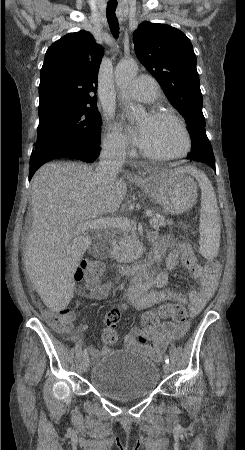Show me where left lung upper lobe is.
Returning <instances> with one entry per match:
<instances>
[{
	"label": "left lung upper lobe",
	"mask_w": 245,
	"mask_h": 450,
	"mask_svg": "<svg viewBox=\"0 0 245 450\" xmlns=\"http://www.w3.org/2000/svg\"><path fill=\"white\" fill-rule=\"evenodd\" d=\"M133 42L140 62L186 120L192 141L189 155L200 154L198 149L210 144L205 132L196 55L190 40L174 27L145 21L134 32Z\"/></svg>",
	"instance_id": "1"
}]
</instances>
